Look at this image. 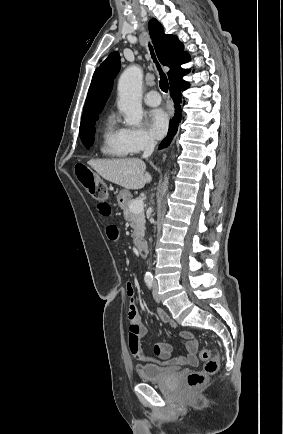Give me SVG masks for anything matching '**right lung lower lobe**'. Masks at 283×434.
I'll use <instances>...</instances> for the list:
<instances>
[{
  "mask_svg": "<svg viewBox=\"0 0 283 434\" xmlns=\"http://www.w3.org/2000/svg\"><path fill=\"white\" fill-rule=\"evenodd\" d=\"M187 86H189V84L183 81L181 78L180 79L176 78L172 83H170V94L175 104V114L174 117L170 120L168 134L166 138L159 145V149L167 147L178 130V125L182 118L181 116L182 100H181L180 92L181 90H184Z\"/></svg>",
  "mask_w": 283,
  "mask_h": 434,
  "instance_id": "right-lung-lower-lobe-1",
  "label": "right lung lower lobe"
}]
</instances>
